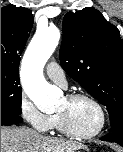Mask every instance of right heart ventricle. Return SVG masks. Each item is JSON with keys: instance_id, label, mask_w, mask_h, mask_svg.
Masks as SVG:
<instances>
[{"instance_id": "right-heart-ventricle-1", "label": "right heart ventricle", "mask_w": 123, "mask_h": 152, "mask_svg": "<svg viewBox=\"0 0 123 152\" xmlns=\"http://www.w3.org/2000/svg\"><path fill=\"white\" fill-rule=\"evenodd\" d=\"M53 119H54V121H53V127L52 128H55L62 133H65L58 114L53 115Z\"/></svg>"}]
</instances>
